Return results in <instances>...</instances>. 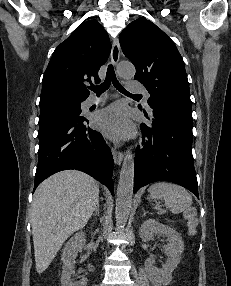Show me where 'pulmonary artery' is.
Listing matches in <instances>:
<instances>
[{
    "label": "pulmonary artery",
    "instance_id": "1",
    "mask_svg": "<svg viewBox=\"0 0 231 286\" xmlns=\"http://www.w3.org/2000/svg\"><path fill=\"white\" fill-rule=\"evenodd\" d=\"M128 90L132 93L136 94H144L147 98L149 97L148 92L145 90L143 85L136 80H131L128 82ZM107 99L106 95H102L100 97L90 96L85 101V106L90 107L95 104H99Z\"/></svg>",
    "mask_w": 231,
    "mask_h": 286
}]
</instances>
